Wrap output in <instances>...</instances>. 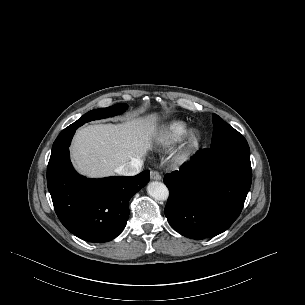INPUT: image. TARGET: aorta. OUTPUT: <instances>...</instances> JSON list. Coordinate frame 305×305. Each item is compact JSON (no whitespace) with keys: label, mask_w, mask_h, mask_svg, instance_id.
Instances as JSON below:
<instances>
[{"label":"aorta","mask_w":305,"mask_h":305,"mask_svg":"<svg viewBox=\"0 0 305 305\" xmlns=\"http://www.w3.org/2000/svg\"><path fill=\"white\" fill-rule=\"evenodd\" d=\"M148 194L159 201L167 200L169 196V190L166 185L162 182L153 181L147 186Z\"/></svg>","instance_id":"obj_1"}]
</instances>
